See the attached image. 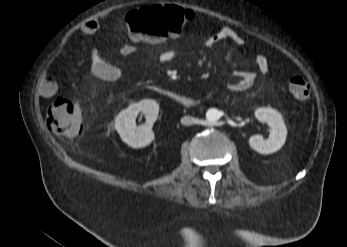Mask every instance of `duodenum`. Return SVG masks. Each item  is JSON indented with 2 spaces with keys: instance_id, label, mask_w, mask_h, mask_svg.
Listing matches in <instances>:
<instances>
[{
  "instance_id": "1",
  "label": "duodenum",
  "mask_w": 347,
  "mask_h": 247,
  "mask_svg": "<svg viewBox=\"0 0 347 247\" xmlns=\"http://www.w3.org/2000/svg\"><path fill=\"white\" fill-rule=\"evenodd\" d=\"M165 95L176 104L182 107H193L196 105V100L188 95L178 92L166 91Z\"/></svg>"
}]
</instances>
